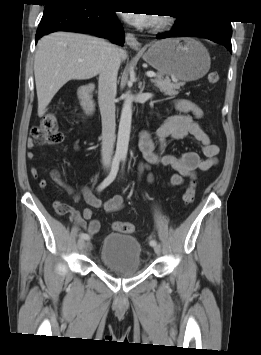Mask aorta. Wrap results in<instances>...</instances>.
Masks as SVG:
<instances>
[{"label": "aorta", "instance_id": "obj_1", "mask_svg": "<svg viewBox=\"0 0 261 355\" xmlns=\"http://www.w3.org/2000/svg\"><path fill=\"white\" fill-rule=\"evenodd\" d=\"M132 121V96L130 92L125 94L121 117L119 122L117 145L115 155L120 158H125L128 152V145L131 132Z\"/></svg>", "mask_w": 261, "mask_h": 355}]
</instances>
